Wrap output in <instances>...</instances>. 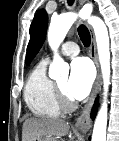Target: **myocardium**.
I'll list each match as a JSON object with an SVG mask.
<instances>
[{
	"label": "myocardium",
	"mask_w": 119,
	"mask_h": 141,
	"mask_svg": "<svg viewBox=\"0 0 119 141\" xmlns=\"http://www.w3.org/2000/svg\"><path fill=\"white\" fill-rule=\"evenodd\" d=\"M54 95L57 105L61 111L70 112L75 108L74 102L65 95L57 83H54Z\"/></svg>",
	"instance_id": "f54148a6"
}]
</instances>
